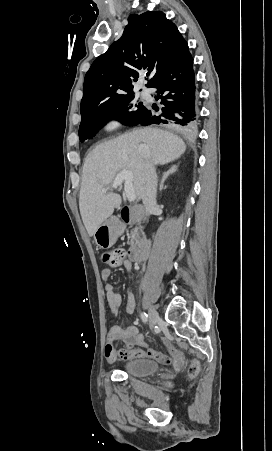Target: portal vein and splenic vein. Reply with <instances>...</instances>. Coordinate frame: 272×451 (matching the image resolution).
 Here are the masks:
<instances>
[{
  "instance_id": "18ae733b",
  "label": "portal vein and splenic vein",
  "mask_w": 272,
  "mask_h": 451,
  "mask_svg": "<svg viewBox=\"0 0 272 451\" xmlns=\"http://www.w3.org/2000/svg\"><path fill=\"white\" fill-rule=\"evenodd\" d=\"M133 174L132 172H130V170H122V172H120V174H117L112 186L113 188H118V186H121L123 180L125 182L124 184V190H125V194L127 196V200H129V202H134L135 198H136V194L134 192V188H133ZM108 188H102V192H107Z\"/></svg>"
}]
</instances>
